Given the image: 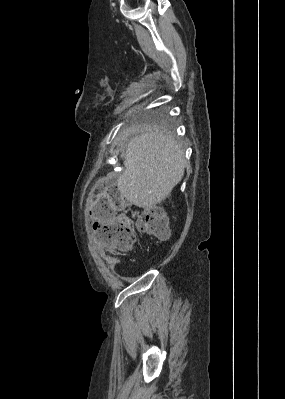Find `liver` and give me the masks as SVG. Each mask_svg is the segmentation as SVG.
<instances>
[{"instance_id":"6515ba94","label":"liver","mask_w":285,"mask_h":399,"mask_svg":"<svg viewBox=\"0 0 285 399\" xmlns=\"http://www.w3.org/2000/svg\"><path fill=\"white\" fill-rule=\"evenodd\" d=\"M123 160L117 188L127 201L144 209L169 196L182 180L186 163L175 137L153 127L128 142Z\"/></svg>"}]
</instances>
